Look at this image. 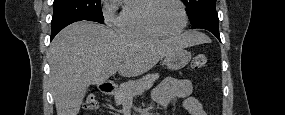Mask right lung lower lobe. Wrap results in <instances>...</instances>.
<instances>
[{
    "mask_svg": "<svg viewBox=\"0 0 285 115\" xmlns=\"http://www.w3.org/2000/svg\"><path fill=\"white\" fill-rule=\"evenodd\" d=\"M75 21H71V22H67V23H64V24H61L59 26H56V27H53L52 28V33H51V40L55 37V35L60 31L62 30L64 27H66L67 25L73 23Z\"/></svg>",
    "mask_w": 285,
    "mask_h": 115,
    "instance_id": "1",
    "label": "right lung lower lobe"
}]
</instances>
